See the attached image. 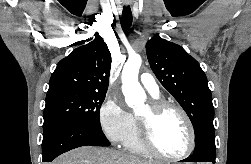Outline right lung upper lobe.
<instances>
[{
    "mask_svg": "<svg viewBox=\"0 0 251 164\" xmlns=\"http://www.w3.org/2000/svg\"><path fill=\"white\" fill-rule=\"evenodd\" d=\"M111 54L103 39L80 46L62 59L49 81V90H77L106 93L109 84Z\"/></svg>",
    "mask_w": 251,
    "mask_h": 164,
    "instance_id": "right-lung-upper-lobe-1",
    "label": "right lung upper lobe"
}]
</instances>
